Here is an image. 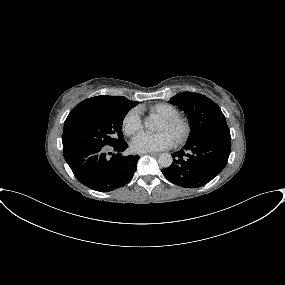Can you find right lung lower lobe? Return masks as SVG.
Returning a JSON list of instances; mask_svg holds the SVG:
<instances>
[{
	"label": "right lung lower lobe",
	"mask_w": 285,
	"mask_h": 285,
	"mask_svg": "<svg viewBox=\"0 0 285 285\" xmlns=\"http://www.w3.org/2000/svg\"><path fill=\"white\" fill-rule=\"evenodd\" d=\"M127 147L126 142L112 147L75 144L63 146V155L78 181L93 190L109 192L127 184L137 168L138 155H121ZM112 150L116 154L109 157L107 152Z\"/></svg>",
	"instance_id": "98d812e1"
}]
</instances>
